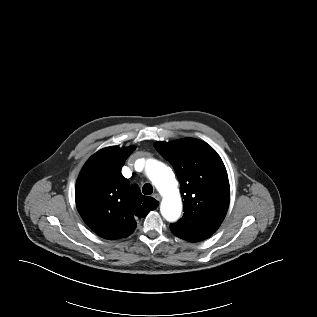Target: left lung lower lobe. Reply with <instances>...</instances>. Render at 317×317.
Listing matches in <instances>:
<instances>
[{"mask_svg":"<svg viewBox=\"0 0 317 317\" xmlns=\"http://www.w3.org/2000/svg\"><path fill=\"white\" fill-rule=\"evenodd\" d=\"M220 224L212 222H192L191 224L177 228L170 225L172 233L186 241L198 242L209 238L218 228Z\"/></svg>","mask_w":317,"mask_h":317,"instance_id":"0a47b994","label":"left lung lower lobe"}]
</instances>
